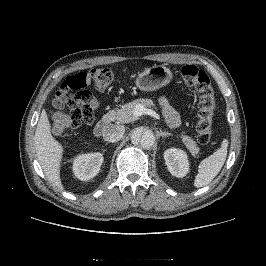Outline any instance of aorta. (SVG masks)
<instances>
[{
  "mask_svg": "<svg viewBox=\"0 0 266 266\" xmlns=\"http://www.w3.org/2000/svg\"><path fill=\"white\" fill-rule=\"evenodd\" d=\"M133 144L141 145L145 149L151 148L155 143V135L151 130L135 129L131 134Z\"/></svg>",
  "mask_w": 266,
  "mask_h": 266,
  "instance_id": "1",
  "label": "aorta"
}]
</instances>
